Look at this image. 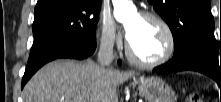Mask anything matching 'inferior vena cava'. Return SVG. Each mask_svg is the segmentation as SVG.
<instances>
[{
    "label": "inferior vena cava",
    "mask_w": 221,
    "mask_h": 102,
    "mask_svg": "<svg viewBox=\"0 0 221 102\" xmlns=\"http://www.w3.org/2000/svg\"><path fill=\"white\" fill-rule=\"evenodd\" d=\"M113 46V35L102 39L97 57V61L101 66L109 67L111 65L113 60Z\"/></svg>",
    "instance_id": "obj_1"
}]
</instances>
